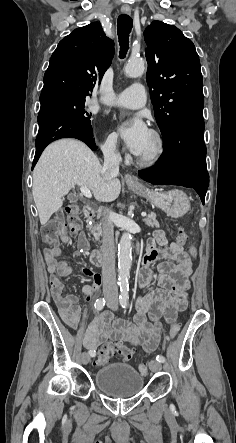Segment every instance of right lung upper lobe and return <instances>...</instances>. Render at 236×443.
I'll list each match as a JSON object with an SVG mask.
<instances>
[{
  "label": "right lung upper lobe",
  "instance_id": "right-lung-upper-lobe-1",
  "mask_svg": "<svg viewBox=\"0 0 236 443\" xmlns=\"http://www.w3.org/2000/svg\"><path fill=\"white\" fill-rule=\"evenodd\" d=\"M114 56V42L100 22L73 30L62 39L44 75L40 101L56 94L89 95Z\"/></svg>",
  "mask_w": 236,
  "mask_h": 443
}]
</instances>
